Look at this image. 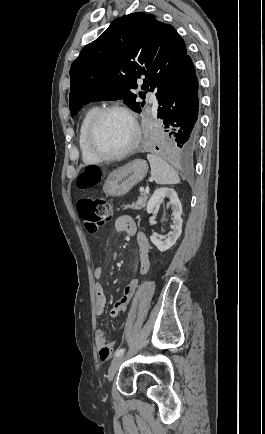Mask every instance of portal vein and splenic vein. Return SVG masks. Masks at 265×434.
Wrapping results in <instances>:
<instances>
[{
	"instance_id": "obj_1",
	"label": "portal vein and splenic vein",
	"mask_w": 265,
	"mask_h": 434,
	"mask_svg": "<svg viewBox=\"0 0 265 434\" xmlns=\"http://www.w3.org/2000/svg\"><path fill=\"white\" fill-rule=\"evenodd\" d=\"M140 192H144V188H140Z\"/></svg>"
}]
</instances>
